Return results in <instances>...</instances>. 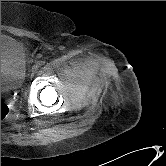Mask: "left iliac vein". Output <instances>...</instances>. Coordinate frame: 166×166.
<instances>
[{"mask_svg": "<svg viewBox=\"0 0 166 166\" xmlns=\"http://www.w3.org/2000/svg\"><path fill=\"white\" fill-rule=\"evenodd\" d=\"M37 69H38V65H34V66L32 67V72H36Z\"/></svg>", "mask_w": 166, "mask_h": 166, "instance_id": "obj_1", "label": "left iliac vein"}]
</instances>
